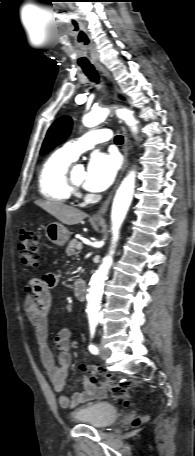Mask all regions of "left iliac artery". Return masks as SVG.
Listing matches in <instances>:
<instances>
[{
  "label": "left iliac artery",
  "instance_id": "44dca946",
  "mask_svg": "<svg viewBox=\"0 0 195 456\" xmlns=\"http://www.w3.org/2000/svg\"><path fill=\"white\" fill-rule=\"evenodd\" d=\"M95 328H96V323L93 322V321H90V337H91V338L94 337ZM89 351H90L92 354H95V355L99 353L98 348H97L96 345H94L93 343H90V344H89Z\"/></svg>",
  "mask_w": 195,
  "mask_h": 456
}]
</instances>
